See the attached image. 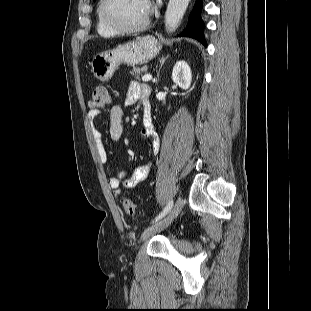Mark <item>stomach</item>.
<instances>
[{
	"instance_id": "obj_1",
	"label": "stomach",
	"mask_w": 311,
	"mask_h": 311,
	"mask_svg": "<svg viewBox=\"0 0 311 311\" xmlns=\"http://www.w3.org/2000/svg\"><path fill=\"white\" fill-rule=\"evenodd\" d=\"M161 49L162 45L155 37H139L112 50L98 53L91 63L92 73L98 80L107 81L121 63L137 65L147 62L156 57Z\"/></svg>"
}]
</instances>
